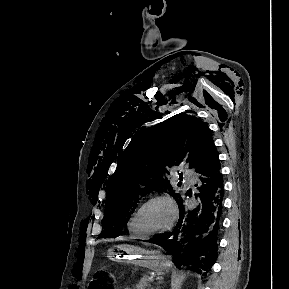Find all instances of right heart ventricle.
<instances>
[{"label":"right heart ventricle","mask_w":289,"mask_h":289,"mask_svg":"<svg viewBox=\"0 0 289 289\" xmlns=\"http://www.w3.org/2000/svg\"><path fill=\"white\" fill-rule=\"evenodd\" d=\"M127 228H128V231H129L131 236H133L135 238H140L141 237L132 227V216L128 220Z\"/></svg>","instance_id":"obj_1"}]
</instances>
